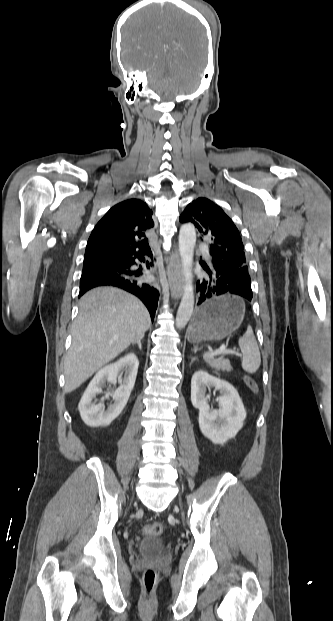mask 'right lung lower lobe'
I'll return each instance as SVG.
<instances>
[{"label": "right lung lower lobe", "instance_id": "98d812e1", "mask_svg": "<svg viewBox=\"0 0 333 621\" xmlns=\"http://www.w3.org/2000/svg\"><path fill=\"white\" fill-rule=\"evenodd\" d=\"M145 256L152 259L151 250L145 253L84 259L79 297L97 286H116L136 295L146 305L153 320L157 309L159 291L152 285L142 282V269H131V266L136 264L135 259L145 262ZM152 265L151 262L146 261L147 268Z\"/></svg>", "mask_w": 333, "mask_h": 621}]
</instances>
